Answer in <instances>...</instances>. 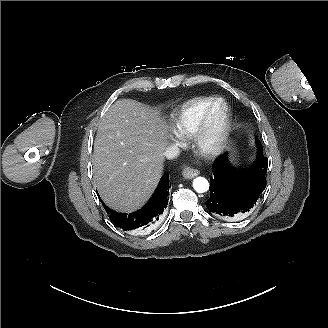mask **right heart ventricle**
<instances>
[{"label":"right heart ventricle","mask_w":328,"mask_h":328,"mask_svg":"<svg viewBox=\"0 0 328 328\" xmlns=\"http://www.w3.org/2000/svg\"><path fill=\"white\" fill-rule=\"evenodd\" d=\"M214 96H199L176 104L175 117L169 129L179 142L189 139L195 117L206 106L211 104Z\"/></svg>","instance_id":"obj_1"}]
</instances>
